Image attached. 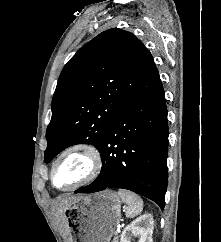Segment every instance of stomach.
Returning <instances> with one entry per match:
<instances>
[{
  "label": "stomach",
  "instance_id": "obj_1",
  "mask_svg": "<svg viewBox=\"0 0 221 242\" xmlns=\"http://www.w3.org/2000/svg\"><path fill=\"white\" fill-rule=\"evenodd\" d=\"M72 231L69 242H110L121 219V200L112 191L75 198L64 210Z\"/></svg>",
  "mask_w": 221,
  "mask_h": 242
}]
</instances>
